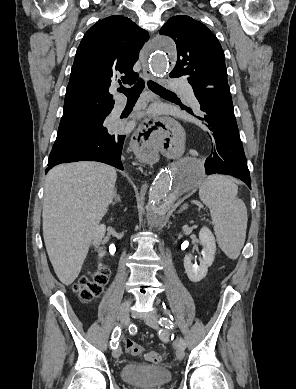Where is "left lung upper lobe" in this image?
Returning a JSON list of instances; mask_svg holds the SVG:
<instances>
[{"label": "left lung upper lobe", "instance_id": "obj_1", "mask_svg": "<svg viewBox=\"0 0 296 389\" xmlns=\"http://www.w3.org/2000/svg\"><path fill=\"white\" fill-rule=\"evenodd\" d=\"M177 46V63L170 77H185L193 90L229 86L223 49L216 36L189 16L171 17L161 28Z\"/></svg>", "mask_w": 296, "mask_h": 389}]
</instances>
